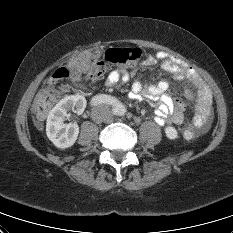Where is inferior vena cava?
Returning <instances> with one entry per match:
<instances>
[{
	"label": "inferior vena cava",
	"instance_id": "1",
	"mask_svg": "<svg viewBox=\"0 0 233 233\" xmlns=\"http://www.w3.org/2000/svg\"><path fill=\"white\" fill-rule=\"evenodd\" d=\"M100 110H102V114L107 121H111L113 119V115L110 113V111L106 107H102L100 108Z\"/></svg>",
	"mask_w": 233,
	"mask_h": 233
}]
</instances>
